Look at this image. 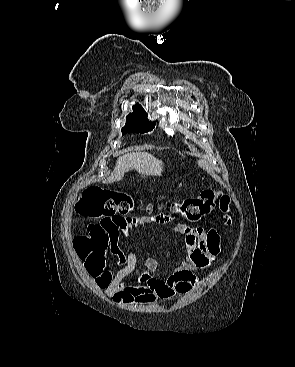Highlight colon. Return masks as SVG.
Masks as SVG:
<instances>
[{"label": "colon", "instance_id": "colon-1", "mask_svg": "<svg viewBox=\"0 0 295 367\" xmlns=\"http://www.w3.org/2000/svg\"><path fill=\"white\" fill-rule=\"evenodd\" d=\"M217 193L213 189H206L198 196L186 198L180 203H173L160 212H169L176 219H186L198 222L214 207ZM133 199L125 193L102 187H91L83 192L75 205V210L81 216L99 218L101 221L122 218L134 208ZM220 207L227 210L228 199H220ZM210 241L215 244L217 236L210 233ZM78 256L85 262L89 273L98 275L104 270L106 252V235L100 224H91L88 235L79 236L74 241Z\"/></svg>", "mask_w": 295, "mask_h": 367}]
</instances>
